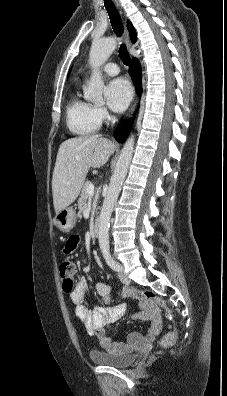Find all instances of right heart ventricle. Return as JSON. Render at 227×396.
Wrapping results in <instances>:
<instances>
[{
  "label": "right heart ventricle",
  "instance_id": "1",
  "mask_svg": "<svg viewBox=\"0 0 227 396\" xmlns=\"http://www.w3.org/2000/svg\"><path fill=\"white\" fill-rule=\"evenodd\" d=\"M66 122L69 130L75 135H89L98 130L94 106L74 93L66 108Z\"/></svg>",
  "mask_w": 227,
  "mask_h": 396
}]
</instances>
